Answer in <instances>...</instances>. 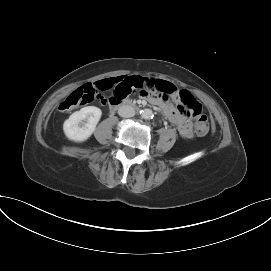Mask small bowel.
I'll use <instances>...</instances> for the list:
<instances>
[{"label":"small bowel","mask_w":271,"mask_h":271,"mask_svg":"<svg viewBox=\"0 0 271 271\" xmlns=\"http://www.w3.org/2000/svg\"><path fill=\"white\" fill-rule=\"evenodd\" d=\"M83 86L91 87L97 93L100 90L113 88V102H126L132 91H135V95L139 98H145L152 105L159 106L167 118L177 126L183 137L191 138L193 136L191 122L171 103V97L179 103V92L169 81L156 79L155 76H117ZM159 86L166 89H159Z\"/></svg>","instance_id":"c3829d8e"}]
</instances>
